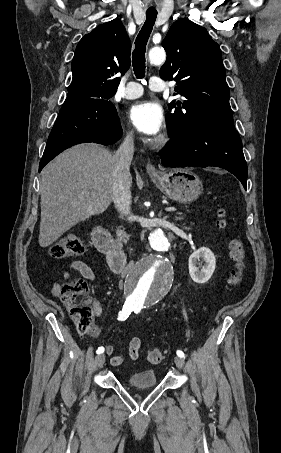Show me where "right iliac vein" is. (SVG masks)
Here are the masks:
<instances>
[{"instance_id": "obj_1", "label": "right iliac vein", "mask_w": 281, "mask_h": 453, "mask_svg": "<svg viewBox=\"0 0 281 453\" xmlns=\"http://www.w3.org/2000/svg\"><path fill=\"white\" fill-rule=\"evenodd\" d=\"M97 361L95 362V367L93 368L95 371L98 369V368H101L102 365H104L105 363V360H106V357L104 356V353L102 355H99L97 356Z\"/></svg>"}]
</instances>
